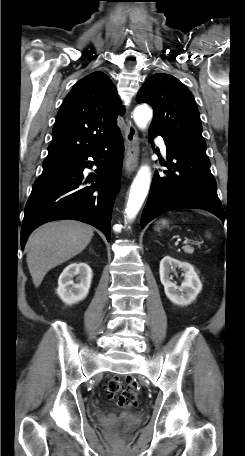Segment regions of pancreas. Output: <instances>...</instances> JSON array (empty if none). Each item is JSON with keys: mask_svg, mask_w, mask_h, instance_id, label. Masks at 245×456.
<instances>
[{"mask_svg": "<svg viewBox=\"0 0 245 456\" xmlns=\"http://www.w3.org/2000/svg\"><path fill=\"white\" fill-rule=\"evenodd\" d=\"M183 250L185 253H188V254H192L194 252V248L189 245L184 246Z\"/></svg>", "mask_w": 245, "mask_h": 456, "instance_id": "1", "label": "pancreas"}]
</instances>
